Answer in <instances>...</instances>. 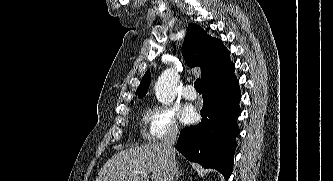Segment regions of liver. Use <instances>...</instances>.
<instances>
[{
  "instance_id": "1",
  "label": "liver",
  "mask_w": 333,
  "mask_h": 181,
  "mask_svg": "<svg viewBox=\"0 0 333 181\" xmlns=\"http://www.w3.org/2000/svg\"><path fill=\"white\" fill-rule=\"evenodd\" d=\"M168 170L165 149L161 143H152L114 154L95 181H166Z\"/></svg>"
}]
</instances>
